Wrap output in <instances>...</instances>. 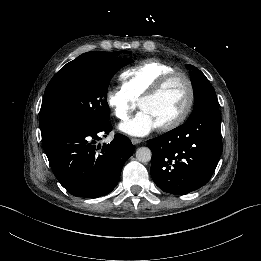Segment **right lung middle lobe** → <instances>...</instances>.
Instances as JSON below:
<instances>
[{"instance_id":"dd1d6c3e","label":"right lung middle lobe","mask_w":261,"mask_h":261,"mask_svg":"<svg viewBox=\"0 0 261 261\" xmlns=\"http://www.w3.org/2000/svg\"><path fill=\"white\" fill-rule=\"evenodd\" d=\"M132 62L127 58L84 56L62 67L45 90L54 130H41L42 140L61 128H92L108 122L109 82L121 67Z\"/></svg>"}]
</instances>
